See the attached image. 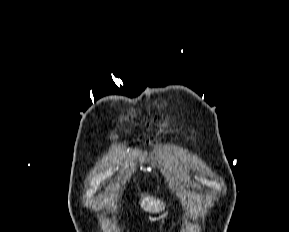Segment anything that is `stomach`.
Listing matches in <instances>:
<instances>
[{
	"label": "stomach",
	"mask_w": 289,
	"mask_h": 232,
	"mask_svg": "<svg viewBox=\"0 0 289 232\" xmlns=\"http://www.w3.org/2000/svg\"><path fill=\"white\" fill-rule=\"evenodd\" d=\"M162 219V222H163V218L162 217H154V218H151L152 221H158Z\"/></svg>",
	"instance_id": "0dacf381"
}]
</instances>
